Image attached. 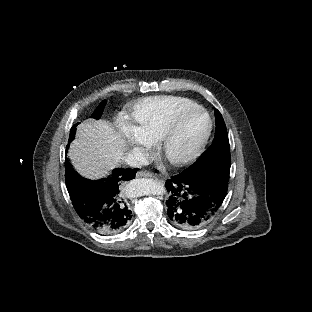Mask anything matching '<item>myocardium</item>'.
I'll return each mask as SVG.
<instances>
[{
  "instance_id": "myocardium-1",
  "label": "myocardium",
  "mask_w": 312,
  "mask_h": 312,
  "mask_svg": "<svg viewBox=\"0 0 312 312\" xmlns=\"http://www.w3.org/2000/svg\"><path fill=\"white\" fill-rule=\"evenodd\" d=\"M212 130L210 116L204 108L187 107L166 123L158 137L157 147L161 155L173 162L174 168L190 167L205 154Z\"/></svg>"
}]
</instances>
